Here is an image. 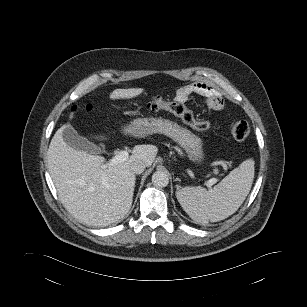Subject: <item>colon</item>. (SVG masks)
Listing matches in <instances>:
<instances>
[{
  "label": "colon",
  "instance_id": "colon-1",
  "mask_svg": "<svg viewBox=\"0 0 307 307\" xmlns=\"http://www.w3.org/2000/svg\"><path fill=\"white\" fill-rule=\"evenodd\" d=\"M148 107L152 111H166L179 117L184 123L194 127L199 131H208L212 128V123L209 121H201L197 119L192 111H190L183 103L177 101H167L160 96H153ZM77 111L89 112L91 107L89 105L77 107ZM229 131L232 136L238 140L243 141L248 138L250 128L247 122L237 121L229 125Z\"/></svg>",
  "mask_w": 307,
  "mask_h": 307
}]
</instances>
